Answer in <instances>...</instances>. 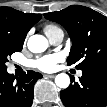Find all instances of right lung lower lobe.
<instances>
[{"instance_id":"right-lung-lower-lobe-1","label":"right lung lower lobe","mask_w":107,"mask_h":107,"mask_svg":"<svg viewBox=\"0 0 107 107\" xmlns=\"http://www.w3.org/2000/svg\"><path fill=\"white\" fill-rule=\"evenodd\" d=\"M40 73L27 71L19 77L0 70V107H31L33 102V86Z\"/></svg>"}]
</instances>
